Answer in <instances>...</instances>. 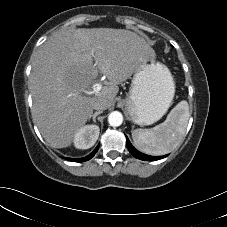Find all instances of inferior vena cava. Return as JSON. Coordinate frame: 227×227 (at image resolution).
<instances>
[{
	"label": "inferior vena cava",
	"mask_w": 227,
	"mask_h": 227,
	"mask_svg": "<svg viewBox=\"0 0 227 227\" xmlns=\"http://www.w3.org/2000/svg\"><path fill=\"white\" fill-rule=\"evenodd\" d=\"M93 109L98 111H103L107 109V104L104 101H97L93 104Z\"/></svg>",
	"instance_id": "1"
}]
</instances>
